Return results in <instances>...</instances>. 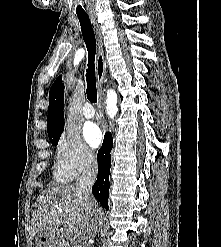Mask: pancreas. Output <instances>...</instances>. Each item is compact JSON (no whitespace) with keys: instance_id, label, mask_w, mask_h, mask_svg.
I'll list each match as a JSON object with an SVG mask.
<instances>
[{"instance_id":"1","label":"pancreas","mask_w":221,"mask_h":247,"mask_svg":"<svg viewBox=\"0 0 221 247\" xmlns=\"http://www.w3.org/2000/svg\"><path fill=\"white\" fill-rule=\"evenodd\" d=\"M61 245H62V247H71L70 243L67 241H62Z\"/></svg>"}]
</instances>
